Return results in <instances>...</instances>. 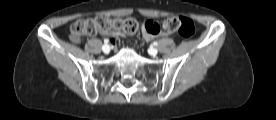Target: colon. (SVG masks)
Returning a JSON list of instances; mask_svg holds the SVG:
<instances>
[{
    "label": "colon",
    "mask_w": 276,
    "mask_h": 120,
    "mask_svg": "<svg viewBox=\"0 0 276 120\" xmlns=\"http://www.w3.org/2000/svg\"><path fill=\"white\" fill-rule=\"evenodd\" d=\"M163 29L167 33H178L180 36L189 38L195 33L194 22L186 17L174 16L167 18L163 24ZM138 29V22L134 18H110L105 15L96 16L89 19H80L74 22L69 29V38L77 43L83 36H92L98 32L114 36L117 34L131 35ZM143 29L152 35L161 32L160 25L154 21H147Z\"/></svg>",
    "instance_id": "colon-1"
}]
</instances>
